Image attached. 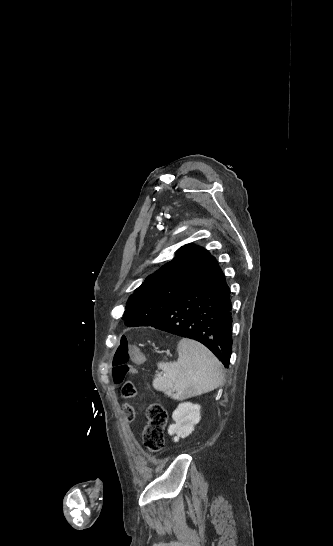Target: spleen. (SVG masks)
Listing matches in <instances>:
<instances>
[{
	"instance_id": "obj_1",
	"label": "spleen",
	"mask_w": 333,
	"mask_h": 546,
	"mask_svg": "<svg viewBox=\"0 0 333 546\" xmlns=\"http://www.w3.org/2000/svg\"><path fill=\"white\" fill-rule=\"evenodd\" d=\"M176 362L158 363L153 387L166 395L183 400L210 392L224 380L220 361L205 346L192 339L183 338L178 347Z\"/></svg>"
}]
</instances>
